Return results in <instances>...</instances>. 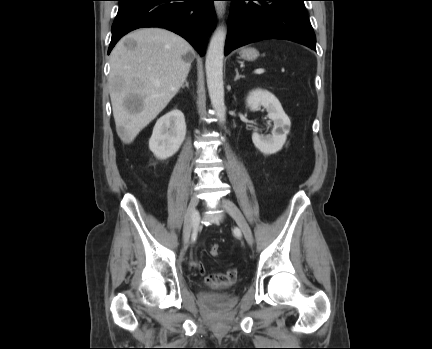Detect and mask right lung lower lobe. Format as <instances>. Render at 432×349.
Segmentation results:
<instances>
[{
  "mask_svg": "<svg viewBox=\"0 0 432 349\" xmlns=\"http://www.w3.org/2000/svg\"><path fill=\"white\" fill-rule=\"evenodd\" d=\"M118 1L108 54L128 32L141 27H160L179 34L204 55L207 33L216 23L214 0Z\"/></svg>",
  "mask_w": 432,
  "mask_h": 349,
  "instance_id": "right-lung-lower-lobe-1",
  "label": "right lung lower lobe"
}]
</instances>
